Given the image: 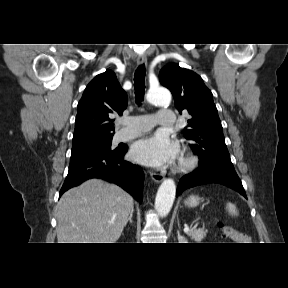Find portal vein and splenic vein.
<instances>
[{"label":"portal vein and splenic vein","instance_id":"obj_1","mask_svg":"<svg viewBox=\"0 0 288 288\" xmlns=\"http://www.w3.org/2000/svg\"><path fill=\"white\" fill-rule=\"evenodd\" d=\"M184 232H185V233H188V232H189V227H185V228H184Z\"/></svg>","mask_w":288,"mask_h":288}]
</instances>
